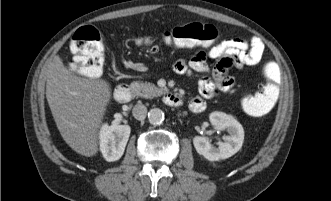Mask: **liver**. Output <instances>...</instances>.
Instances as JSON below:
<instances>
[{
	"mask_svg": "<svg viewBox=\"0 0 331 201\" xmlns=\"http://www.w3.org/2000/svg\"><path fill=\"white\" fill-rule=\"evenodd\" d=\"M43 73L46 98L63 140L80 155H96L99 129L111 99L109 83L76 76L58 55L49 59Z\"/></svg>",
	"mask_w": 331,
	"mask_h": 201,
	"instance_id": "1",
	"label": "liver"
}]
</instances>
